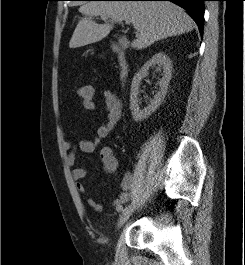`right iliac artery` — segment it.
I'll return each mask as SVG.
<instances>
[{
	"label": "right iliac artery",
	"instance_id": "82829eb1",
	"mask_svg": "<svg viewBox=\"0 0 245 265\" xmlns=\"http://www.w3.org/2000/svg\"><path fill=\"white\" fill-rule=\"evenodd\" d=\"M116 210H117L118 212H121V211L123 210V205H118V206L116 207Z\"/></svg>",
	"mask_w": 245,
	"mask_h": 265
}]
</instances>
